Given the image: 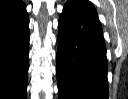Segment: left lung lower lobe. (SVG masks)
<instances>
[{"label":"left lung lower lobe","mask_w":128,"mask_h":99,"mask_svg":"<svg viewBox=\"0 0 128 99\" xmlns=\"http://www.w3.org/2000/svg\"><path fill=\"white\" fill-rule=\"evenodd\" d=\"M58 29L59 99H108L106 47L94 6L68 0Z\"/></svg>","instance_id":"1"}]
</instances>
